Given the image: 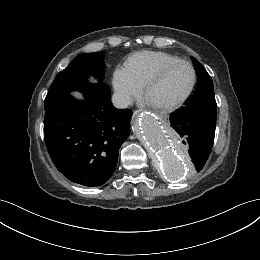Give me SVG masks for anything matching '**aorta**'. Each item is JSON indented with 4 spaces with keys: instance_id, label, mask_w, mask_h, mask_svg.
Here are the masks:
<instances>
[{
    "instance_id": "obj_1",
    "label": "aorta",
    "mask_w": 260,
    "mask_h": 260,
    "mask_svg": "<svg viewBox=\"0 0 260 260\" xmlns=\"http://www.w3.org/2000/svg\"><path fill=\"white\" fill-rule=\"evenodd\" d=\"M133 131L167 178L176 180L187 175L190 166L179 149L178 138L155 116L148 113L139 116Z\"/></svg>"
}]
</instances>
